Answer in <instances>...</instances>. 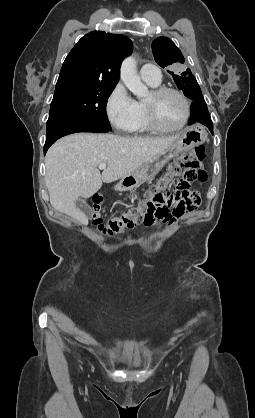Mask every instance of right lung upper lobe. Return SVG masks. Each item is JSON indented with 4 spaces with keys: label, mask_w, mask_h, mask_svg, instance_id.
Returning a JSON list of instances; mask_svg holds the SVG:
<instances>
[{
    "label": "right lung upper lobe",
    "mask_w": 255,
    "mask_h": 418,
    "mask_svg": "<svg viewBox=\"0 0 255 418\" xmlns=\"http://www.w3.org/2000/svg\"><path fill=\"white\" fill-rule=\"evenodd\" d=\"M132 49L131 40L124 35L92 31L70 51L56 85L82 82L115 86L121 62Z\"/></svg>",
    "instance_id": "obj_1"
}]
</instances>
